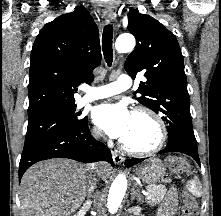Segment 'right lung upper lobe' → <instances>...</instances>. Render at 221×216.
Returning a JSON list of instances; mask_svg holds the SVG:
<instances>
[{
	"instance_id": "obj_1",
	"label": "right lung upper lobe",
	"mask_w": 221,
	"mask_h": 216,
	"mask_svg": "<svg viewBox=\"0 0 221 216\" xmlns=\"http://www.w3.org/2000/svg\"><path fill=\"white\" fill-rule=\"evenodd\" d=\"M101 57L99 31L86 8L47 23L31 51L28 115L75 104L76 87L93 80Z\"/></svg>"
}]
</instances>
